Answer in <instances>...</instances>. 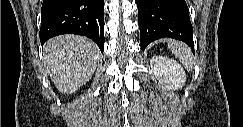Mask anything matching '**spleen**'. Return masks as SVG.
Returning <instances> with one entry per match:
<instances>
[{
	"label": "spleen",
	"mask_w": 243,
	"mask_h": 127,
	"mask_svg": "<svg viewBox=\"0 0 243 127\" xmlns=\"http://www.w3.org/2000/svg\"><path fill=\"white\" fill-rule=\"evenodd\" d=\"M168 47L172 50L175 56L179 58V60L182 62L186 69H193L192 55L186 45L179 42L171 41Z\"/></svg>",
	"instance_id": "obj_1"
}]
</instances>
